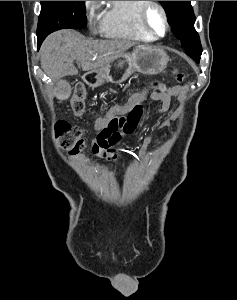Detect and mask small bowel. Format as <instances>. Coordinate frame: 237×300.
Segmentation results:
<instances>
[{"instance_id": "1", "label": "small bowel", "mask_w": 237, "mask_h": 300, "mask_svg": "<svg viewBox=\"0 0 237 300\" xmlns=\"http://www.w3.org/2000/svg\"><path fill=\"white\" fill-rule=\"evenodd\" d=\"M183 91H184V88L182 86H179V85H174V86H171L168 89H166L158 98V100L160 101L158 111L160 113L166 112L170 107L171 99L173 97L181 96L183 94ZM140 99H141V93L140 92L134 94L130 98V100L128 101L127 104H125L123 106H117V107L112 108L105 117L99 118L98 120H96V122L94 123L93 128L97 132H99L101 129H103L107 125L109 120H111L115 116H118V115L128 111L132 107V105ZM175 119H176V117L172 116L171 119L165 123V125L168 126V127H171L172 124L174 123ZM94 153L97 154L100 157L108 159L111 162H115L117 160L116 156L114 154V151L112 149L108 150V151L94 150Z\"/></svg>"}]
</instances>
